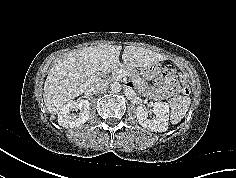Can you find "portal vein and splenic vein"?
<instances>
[{"mask_svg": "<svg viewBox=\"0 0 236 178\" xmlns=\"http://www.w3.org/2000/svg\"><path fill=\"white\" fill-rule=\"evenodd\" d=\"M119 75H120V76H125V75H127V73H126V71L121 70V71H119Z\"/></svg>", "mask_w": 236, "mask_h": 178, "instance_id": "1", "label": "portal vein and splenic vein"}]
</instances>
